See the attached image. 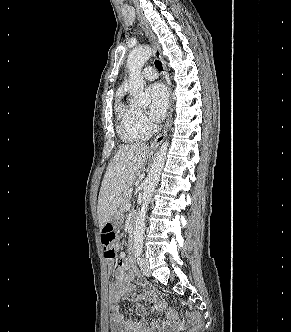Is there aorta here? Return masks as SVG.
Returning a JSON list of instances; mask_svg holds the SVG:
<instances>
[{"instance_id":"obj_1","label":"aorta","mask_w":291,"mask_h":332,"mask_svg":"<svg viewBox=\"0 0 291 332\" xmlns=\"http://www.w3.org/2000/svg\"><path fill=\"white\" fill-rule=\"evenodd\" d=\"M152 56V49L149 46H141L133 49L127 59V67L129 70V81L127 91L130 93L131 101L139 105H148L149 98L144 93V80L141 74L142 68L146 61ZM169 142L166 140L156 153L148 173L144 181L143 201L141 210L138 213L134 228V251L139 255L143 249V239L145 233V218L148 205L152 200L153 193L158 185L160 176L165 164L166 154Z\"/></svg>"}]
</instances>
